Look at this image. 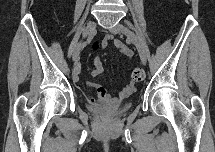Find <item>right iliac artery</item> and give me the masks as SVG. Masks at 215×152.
<instances>
[{
  "mask_svg": "<svg viewBox=\"0 0 215 152\" xmlns=\"http://www.w3.org/2000/svg\"><path fill=\"white\" fill-rule=\"evenodd\" d=\"M92 38H93V34H90V35L88 36L87 40H86L85 42H82V43L80 44V46H81L82 48L85 47V46L87 45V43H89V42L92 40Z\"/></svg>",
  "mask_w": 215,
  "mask_h": 152,
  "instance_id": "82829eb1",
  "label": "right iliac artery"
}]
</instances>
